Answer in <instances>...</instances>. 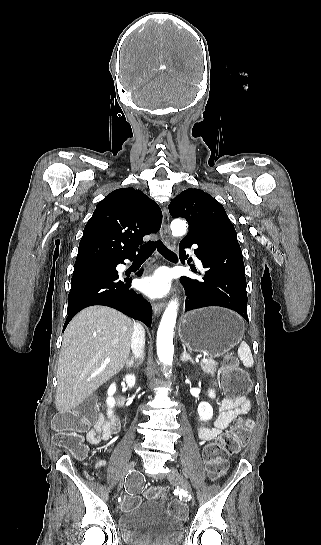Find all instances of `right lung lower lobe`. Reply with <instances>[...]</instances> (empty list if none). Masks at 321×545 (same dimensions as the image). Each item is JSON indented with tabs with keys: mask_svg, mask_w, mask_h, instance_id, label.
Returning <instances> with one entry per match:
<instances>
[{
	"mask_svg": "<svg viewBox=\"0 0 321 545\" xmlns=\"http://www.w3.org/2000/svg\"><path fill=\"white\" fill-rule=\"evenodd\" d=\"M120 263L124 264V260L115 264H90L74 268L64 329L79 311L92 305L112 307L151 327L152 307L130 288L132 278L118 275L116 266ZM142 273L140 271L137 275L141 276Z\"/></svg>",
	"mask_w": 321,
	"mask_h": 545,
	"instance_id": "98d812e1",
	"label": "right lung lower lobe"
}]
</instances>
